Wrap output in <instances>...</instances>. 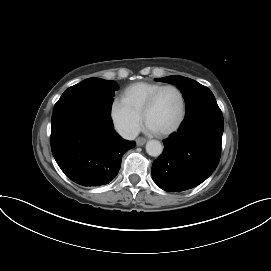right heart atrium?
Instances as JSON below:
<instances>
[{
    "instance_id": "1",
    "label": "right heart atrium",
    "mask_w": 271,
    "mask_h": 271,
    "mask_svg": "<svg viewBox=\"0 0 271 271\" xmlns=\"http://www.w3.org/2000/svg\"><path fill=\"white\" fill-rule=\"evenodd\" d=\"M114 129L125 139L134 138L142 125V116L131 110L122 99H114L109 108Z\"/></svg>"
}]
</instances>
